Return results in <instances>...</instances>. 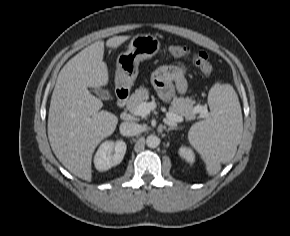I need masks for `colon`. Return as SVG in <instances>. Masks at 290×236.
Here are the masks:
<instances>
[{
  "mask_svg": "<svg viewBox=\"0 0 290 236\" xmlns=\"http://www.w3.org/2000/svg\"><path fill=\"white\" fill-rule=\"evenodd\" d=\"M170 53L177 58H189L206 76L214 72V66L209 61L208 55L203 51L192 50L184 45H173L170 47Z\"/></svg>",
  "mask_w": 290,
  "mask_h": 236,
  "instance_id": "colon-1",
  "label": "colon"
}]
</instances>
